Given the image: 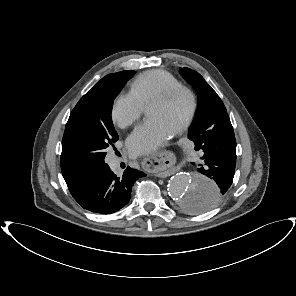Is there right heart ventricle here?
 <instances>
[{"mask_svg":"<svg viewBox=\"0 0 296 296\" xmlns=\"http://www.w3.org/2000/svg\"><path fill=\"white\" fill-rule=\"evenodd\" d=\"M181 85L180 81L164 70H150L139 75L130 85L129 93L141 106L157 95Z\"/></svg>","mask_w":296,"mask_h":296,"instance_id":"right-heart-ventricle-1","label":"right heart ventricle"}]
</instances>
